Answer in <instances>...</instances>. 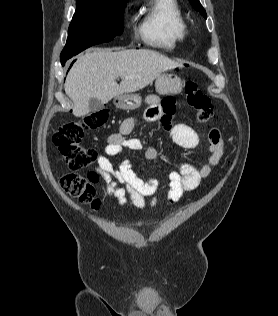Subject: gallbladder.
I'll return each instance as SVG.
<instances>
[{
  "label": "gallbladder",
  "mask_w": 278,
  "mask_h": 316,
  "mask_svg": "<svg viewBox=\"0 0 278 316\" xmlns=\"http://www.w3.org/2000/svg\"><path fill=\"white\" fill-rule=\"evenodd\" d=\"M89 109L91 113L98 112L103 109V104L96 98H90L89 100Z\"/></svg>",
  "instance_id": "gallbladder-1"
}]
</instances>
